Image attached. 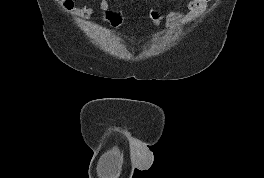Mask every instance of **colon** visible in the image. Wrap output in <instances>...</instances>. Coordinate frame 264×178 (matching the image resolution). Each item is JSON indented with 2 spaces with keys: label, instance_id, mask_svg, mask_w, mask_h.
Listing matches in <instances>:
<instances>
[{
  "label": "colon",
  "instance_id": "1",
  "mask_svg": "<svg viewBox=\"0 0 264 178\" xmlns=\"http://www.w3.org/2000/svg\"><path fill=\"white\" fill-rule=\"evenodd\" d=\"M60 2L69 7L73 4L72 0H60ZM104 22L111 28H118L125 22V15L122 11L110 9L104 13ZM164 19V14L159 9H152L148 15V23L152 27H157Z\"/></svg>",
  "mask_w": 264,
  "mask_h": 178
}]
</instances>
